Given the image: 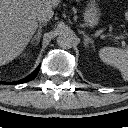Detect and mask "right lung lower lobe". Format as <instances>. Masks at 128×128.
I'll return each mask as SVG.
<instances>
[{"label": "right lung lower lobe", "instance_id": "1", "mask_svg": "<svg viewBox=\"0 0 128 128\" xmlns=\"http://www.w3.org/2000/svg\"><path fill=\"white\" fill-rule=\"evenodd\" d=\"M39 69H40V67H38L30 76H28L27 78H25L24 80H21V81H18V82H15V83H13V84H21V83H26V82H28V81H30V80H32V79H34L36 76H37V74H38V72H39ZM0 83H4V82H1L0 81Z\"/></svg>", "mask_w": 128, "mask_h": 128}]
</instances>
